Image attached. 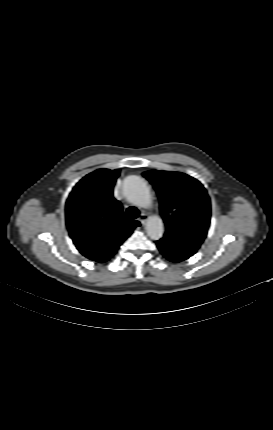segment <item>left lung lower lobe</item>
Returning a JSON list of instances; mask_svg holds the SVG:
<instances>
[{
  "mask_svg": "<svg viewBox=\"0 0 273 430\" xmlns=\"http://www.w3.org/2000/svg\"><path fill=\"white\" fill-rule=\"evenodd\" d=\"M159 249H161V246L156 242ZM166 259H168L171 262H180L185 259H187L186 255H168L166 256Z\"/></svg>",
  "mask_w": 273,
  "mask_h": 430,
  "instance_id": "0a47b994",
  "label": "left lung lower lobe"
}]
</instances>
